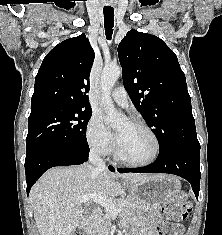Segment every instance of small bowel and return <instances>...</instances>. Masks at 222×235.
<instances>
[{
    "label": "small bowel",
    "mask_w": 222,
    "mask_h": 235,
    "mask_svg": "<svg viewBox=\"0 0 222 235\" xmlns=\"http://www.w3.org/2000/svg\"><path fill=\"white\" fill-rule=\"evenodd\" d=\"M157 223L158 215L154 212L149 216L146 230H141L137 235H156Z\"/></svg>",
    "instance_id": "1"
}]
</instances>
